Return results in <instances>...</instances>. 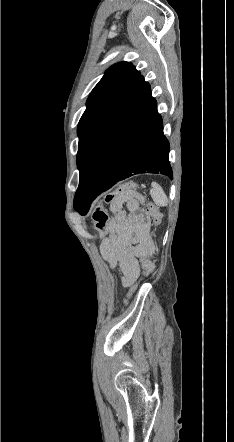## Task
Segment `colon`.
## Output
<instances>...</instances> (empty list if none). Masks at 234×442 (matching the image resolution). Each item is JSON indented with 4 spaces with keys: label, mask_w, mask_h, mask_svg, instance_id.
<instances>
[{
    "label": "colon",
    "mask_w": 234,
    "mask_h": 442,
    "mask_svg": "<svg viewBox=\"0 0 234 442\" xmlns=\"http://www.w3.org/2000/svg\"><path fill=\"white\" fill-rule=\"evenodd\" d=\"M138 189V185L134 182H125L123 184H121L114 192L109 193L106 198L105 201L107 203H115L116 201L128 196L130 193L135 192ZM145 213L148 217V222H147V227L149 229V227L151 225H156L159 223L160 221V212L158 210V208L151 202H146V209H145ZM92 219L93 222L96 226V228L101 232L104 233L106 230V225L108 222V215L107 212L105 211V209L99 205L97 206L93 213H92ZM146 242L149 241V233L147 230L145 239ZM143 271L145 273V275H149L154 271V266H157V263H153V261L148 260V256H145V262L143 263ZM135 291V288L132 290ZM128 299L126 300L127 303Z\"/></svg>",
    "instance_id": "colon-1"
}]
</instances>
